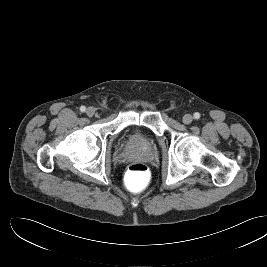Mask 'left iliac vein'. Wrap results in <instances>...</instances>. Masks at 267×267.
Listing matches in <instances>:
<instances>
[{"instance_id": "obj_1", "label": "left iliac vein", "mask_w": 267, "mask_h": 267, "mask_svg": "<svg viewBox=\"0 0 267 267\" xmlns=\"http://www.w3.org/2000/svg\"><path fill=\"white\" fill-rule=\"evenodd\" d=\"M184 124H190L193 121V117L190 114H185L182 118Z\"/></svg>"}]
</instances>
